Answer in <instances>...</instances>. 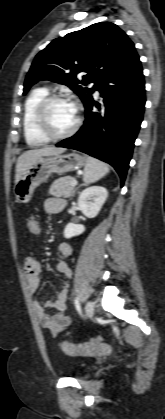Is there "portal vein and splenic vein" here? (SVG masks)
Listing matches in <instances>:
<instances>
[{"label":"portal vein and splenic vein","instance_id":"obj_1","mask_svg":"<svg viewBox=\"0 0 165 419\" xmlns=\"http://www.w3.org/2000/svg\"><path fill=\"white\" fill-rule=\"evenodd\" d=\"M70 185L73 186V187L76 186L77 185V181L76 180H72L71 183H70Z\"/></svg>","mask_w":165,"mask_h":419}]
</instances>
